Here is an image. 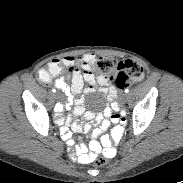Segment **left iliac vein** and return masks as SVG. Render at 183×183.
Returning a JSON list of instances; mask_svg holds the SVG:
<instances>
[{
  "instance_id": "left-iliac-vein-1",
  "label": "left iliac vein",
  "mask_w": 183,
  "mask_h": 183,
  "mask_svg": "<svg viewBox=\"0 0 183 183\" xmlns=\"http://www.w3.org/2000/svg\"><path fill=\"white\" fill-rule=\"evenodd\" d=\"M126 100H127V94H123V95H122V101L125 102Z\"/></svg>"
}]
</instances>
